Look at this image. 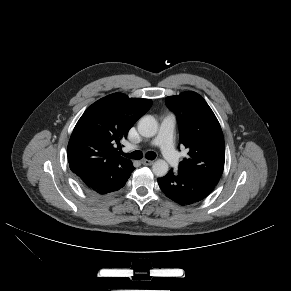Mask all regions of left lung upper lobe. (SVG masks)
<instances>
[{
    "instance_id": "1",
    "label": "left lung upper lobe",
    "mask_w": 291,
    "mask_h": 291,
    "mask_svg": "<svg viewBox=\"0 0 291 291\" xmlns=\"http://www.w3.org/2000/svg\"><path fill=\"white\" fill-rule=\"evenodd\" d=\"M179 123L180 142L189 150L179 170L217 185L225 162L224 137L213 111L199 94L188 91L165 99Z\"/></svg>"
}]
</instances>
